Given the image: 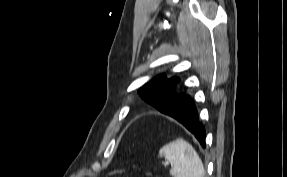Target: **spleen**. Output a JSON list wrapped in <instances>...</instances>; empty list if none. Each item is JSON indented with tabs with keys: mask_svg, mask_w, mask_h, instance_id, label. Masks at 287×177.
<instances>
[{
	"mask_svg": "<svg viewBox=\"0 0 287 177\" xmlns=\"http://www.w3.org/2000/svg\"><path fill=\"white\" fill-rule=\"evenodd\" d=\"M159 156H164L171 163L170 174L173 177H204L205 170L197 152L192 145L180 138L164 145L159 150Z\"/></svg>",
	"mask_w": 287,
	"mask_h": 177,
	"instance_id": "1",
	"label": "spleen"
}]
</instances>
